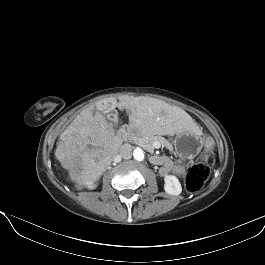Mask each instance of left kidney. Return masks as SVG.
<instances>
[{"label":"left kidney","instance_id":"5707ae66","mask_svg":"<svg viewBox=\"0 0 265 265\" xmlns=\"http://www.w3.org/2000/svg\"><path fill=\"white\" fill-rule=\"evenodd\" d=\"M164 181V190L166 193L177 196L182 192V187L177 177L173 175H166Z\"/></svg>","mask_w":265,"mask_h":265}]
</instances>
